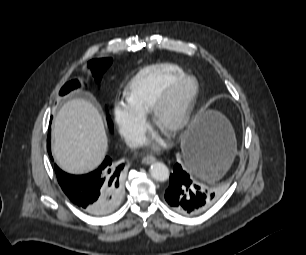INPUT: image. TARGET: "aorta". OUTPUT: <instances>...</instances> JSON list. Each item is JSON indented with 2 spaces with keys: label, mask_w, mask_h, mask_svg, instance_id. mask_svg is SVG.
Returning <instances> with one entry per match:
<instances>
[{
  "label": "aorta",
  "mask_w": 306,
  "mask_h": 255,
  "mask_svg": "<svg viewBox=\"0 0 306 255\" xmlns=\"http://www.w3.org/2000/svg\"><path fill=\"white\" fill-rule=\"evenodd\" d=\"M150 175L151 177L159 182H164L169 179V169L162 162H155L150 166Z\"/></svg>",
  "instance_id": "obj_1"
}]
</instances>
